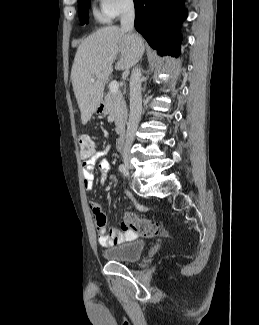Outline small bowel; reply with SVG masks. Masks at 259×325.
<instances>
[{"label": "small bowel", "instance_id": "c3829d8e", "mask_svg": "<svg viewBox=\"0 0 259 325\" xmlns=\"http://www.w3.org/2000/svg\"><path fill=\"white\" fill-rule=\"evenodd\" d=\"M107 150L95 151L94 154L85 159L82 163V174L84 187L86 190H92L94 185V170L97 165L101 176V183H105L108 179V174L110 171V163L105 159ZM124 195L127 196L131 201L141 207L132 193L129 191H124ZM89 209L91 216L96 226V231L98 235V242L103 247H111L123 243L124 241L131 240L136 237V233L131 230L125 222L121 224L120 229L112 228L108 230L107 218L102 212L100 205L97 202L91 201L89 203Z\"/></svg>", "mask_w": 259, "mask_h": 325}]
</instances>
